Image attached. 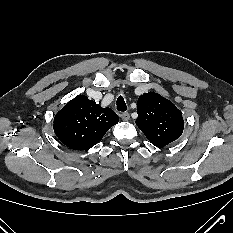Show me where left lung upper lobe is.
<instances>
[{"instance_id":"left-lung-upper-lobe-1","label":"left lung upper lobe","mask_w":233,"mask_h":233,"mask_svg":"<svg viewBox=\"0 0 233 233\" xmlns=\"http://www.w3.org/2000/svg\"><path fill=\"white\" fill-rule=\"evenodd\" d=\"M136 125L158 148L175 141L184 129L182 112L158 93L141 95L137 102Z\"/></svg>"}]
</instances>
